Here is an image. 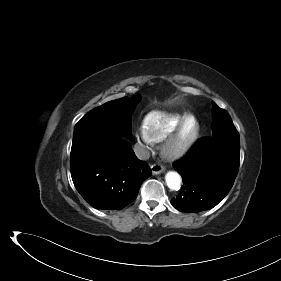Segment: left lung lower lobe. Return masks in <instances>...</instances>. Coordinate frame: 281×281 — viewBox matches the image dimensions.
I'll return each mask as SVG.
<instances>
[{"instance_id": "obj_1", "label": "left lung lower lobe", "mask_w": 281, "mask_h": 281, "mask_svg": "<svg viewBox=\"0 0 281 281\" xmlns=\"http://www.w3.org/2000/svg\"><path fill=\"white\" fill-rule=\"evenodd\" d=\"M223 144L228 146L226 155L221 154ZM239 160V134L230 139L201 138L189 154L173 164L182 176L183 186L171 204L186 213L213 208L232 188Z\"/></svg>"}]
</instances>
